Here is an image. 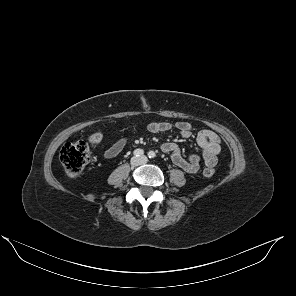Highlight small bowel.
Wrapping results in <instances>:
<instances>
[{
  "mask_svg": "<svg viewBox=\"0 0 296 296\" xmlns=\"http://www.w3.org/2000/svg\"><path fill=\"white\" fill-rule=\"evenodd\" d=\"M148 130L152 133H163L176 130L179 134L188 138L192 135V126L187 121H179L175 124L169 122H152L148 125ZM196 141L201 149V156L192 154L188 158L182 156L178 145L175 142H165L162 151L171 156L175 165L188 173H196L200 168L201 159L206 166H214L217 163V155L221 150V143L218 135L211 130H201L197 133ZM127 144V138L121 137L112 141L104 151L106 159L118 156Z\"/></svg>",
  "mask_w": 296,
  "mask_h": 296,
  "instance_id": "small-bowel-1",
  "label": "small bowel"
}]
</instances>
